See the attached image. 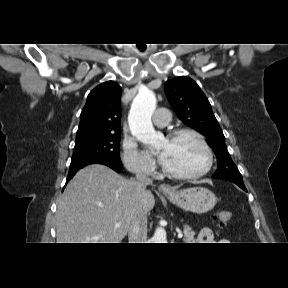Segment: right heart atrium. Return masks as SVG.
<instances>
[{
	"label": "right heart atrium",
	"mask_w": 288,
	"mask_h": 288,
	"mask_svg": "<svg viewBox=\"0 0 288 288\" xmlns=\"http://www.w3.org/2000/svg\"><path fill=\"white\" fill-rule=\"evenodd\" d=\"M122 159L126 168L139 175H150L155 169L154 160L141 151L136 142L131 138H125L123 141Z\"/></svg>",
	"instance_id": "1"
}]
</instances>
